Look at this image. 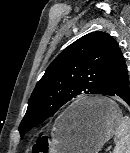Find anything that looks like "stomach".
<instances>
[{
  "mask_svg": "<svg viewBox=\"0 0 130 153\" xmlns=\"http://www.w3.org/2000/svg\"><path fill=\"white\" fill-rule=\"evenodd\" d=\"M83 108V113H76ZM121 119L118 106L106 97L76 101L59 117L52 132L53 147L56 153H98Z\"/></svg>",
  "mask_w": 130,
  "mask_h": 153,
  "instance_id": "stomach-1",
  "label": "stomach"
}]
</instances>
